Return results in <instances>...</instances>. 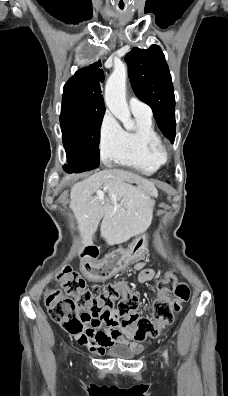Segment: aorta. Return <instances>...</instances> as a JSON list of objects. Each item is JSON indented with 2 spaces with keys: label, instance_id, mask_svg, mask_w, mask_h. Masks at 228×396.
Returning a JSON list of instances; mask_svg holds the SVG:
<instances>
[{
  "label": "aorta",
  "instance_id": "762f6f07",
  "mask_svg": "<svg viewBox=\"0 0 228 396\" xmlns=\"http://www.w3.org/2000/svg\"><path fill=\"white\" fill-rule=\"evenodd\" d=\"M127 68L124 64H117L105 86V103L111 113L123 123L126 130L134 128L126 101Z\"/></svg>",
  "mask_w": 228,
  "mask_h": 396
}]
</instances>
